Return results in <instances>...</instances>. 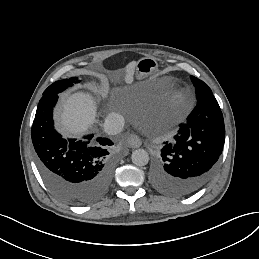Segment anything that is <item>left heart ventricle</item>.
<instances>
[{
  "mask_svg": "<svg viewBox=\"0 0 259 259\" xmlns=\"http://www.w3.org/2000/svg\"><path fill=\"white\" fill-rule=\"evenodd\" d=\"M165 86L167 90V102L173 106H181L186 102L187 88L178 82H166L154 84Z\"/></svg>",
  "mask_w": 259,
  "mask_h": 259,
  "instance_id": "1",
  "label": "left heart ventricle"
}]
</instances>
